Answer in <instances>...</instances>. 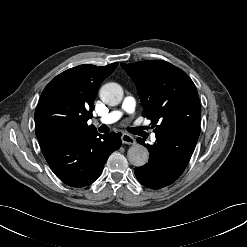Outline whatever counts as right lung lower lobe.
I'll list each match as a JSON object with an SVG mask.
<instances>
[{
    "label": "right lung lower lobe",
    "mask_w": 247,
    "mask_h": 247,
    "mask_svg": "<svg viewBox=\"0 0 247 247\" xmlns=\"http://www.w3.org/2000/svg\"><path fill=\"white\" fill-rule=\"evenodd\" d=\"M121 134L60 132L43 155L54 174L65 184L84 187L101 174L110 154L121 146Z\"/></svg>",
    "instance_id": "98d812e1"
}]
</instances>
